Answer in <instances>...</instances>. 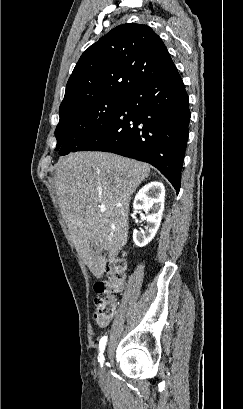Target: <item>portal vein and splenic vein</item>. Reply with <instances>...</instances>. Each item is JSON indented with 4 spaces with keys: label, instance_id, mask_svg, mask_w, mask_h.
Returning a JSON list of instances; mask_svg holds the SVG:
<instances>
[{
    "label": "portal vein and splenic vein",
    "instance_id": "obj_1",
    "mask_svg": "<svg viewBox=\"0 0 243 409\" xmlns=\"http://www.w3.org/2000/svg\"><path fill=\"white\" fill-rule=\"evenodd\" d=\"M100 210L105 211L106 210L105 205H100Z\"/></svg>",
    "mask_w": 243,
    "mask_h": 409
}]
</instances>
